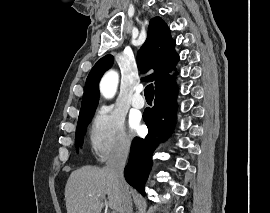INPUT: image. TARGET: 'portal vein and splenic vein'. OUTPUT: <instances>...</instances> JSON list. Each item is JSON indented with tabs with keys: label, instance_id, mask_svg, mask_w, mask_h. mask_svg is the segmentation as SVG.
I'll return each mask as SVG.
<instances>
[{
	"label": "portal vein and splenic vein",
	"instance_id": "18ae733b",
	"mask_svg": "<svg viewBox=\"0 0 270 213\" xmlns=\"http://www.w3.org/2000/svg\"><path fill=\"white\" fill-rule=\"evenodd\" d=\"M111 213H116L115 211H112Z\"/></svg>",
	"mask_w": 270,
	"mask_h": 213
}]
</instances>
